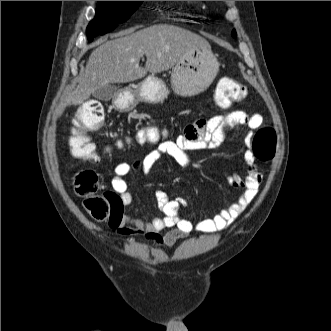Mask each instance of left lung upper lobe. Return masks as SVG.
Segmentation results:
<instances>
[{
	"instance_id": "obj_1",
	"label": "left lung upper lobe",
	"mask_w": 331,
	"mask_h": 331,
	"mask_svg": "<svg viewBox=\"0 0 331 331\" xmlns=\"http://www.w3.org/2000/svg\"><path fill=\"white\" fill-rule=\"evenodd\" d=\"M232 35H233L234 37H236V32H235V30L232 31Z\"/></svg>"
}]
</instances>
